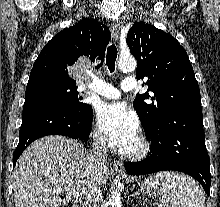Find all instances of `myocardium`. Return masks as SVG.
<instances>
[{
    "instance_id": "myocardium-1",
    "label": "myocardium",
    "mask_w": 220,
    "mask_h": 207,
    "mask_svg": "<svg viewBox=\"0 0 220 207\" xmlns=\"http://www.w3.org/2000/svg\"><path fill=\"white\" fill-rule=\"evenodd\" d=\"M139 148L135 151L127 152L121 148L118 150V154L128 160H142L144 159L151 151V142L148 137L140 133L138 136Z\"/></svg>"
}]
</instances>
